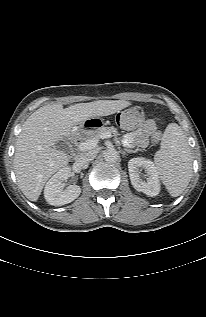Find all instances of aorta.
<instances>
[{"mask_svg": "<svg viewBox=\"0 0 206 317\" xmlns=\"http://www.w3.org/2000/svg\"><path fill=\"white\" fill-rule=\"evenodd\" d=\"M104 159L109 163H115L119 159V153L114 148L108 149L104 153Z\"/></svg>", "mask_w": 206, "mask_h": 317, "instance_id": "762f6f07", "label": "aorta"}]
</instances>
